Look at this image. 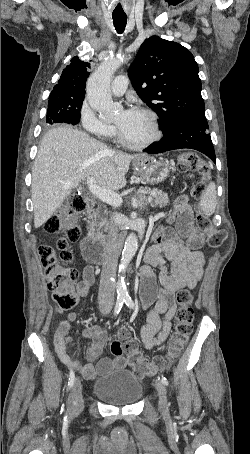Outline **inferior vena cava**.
<instances>
[{"label":"inferior vena cava","mask_w":250,"mask_h":454,"mask_svg":"<svg viewBox=\"0 0 250 454\" xmlns=\"http://www.w3.org/2000/svg\"><path fill=\"white\" fill-rule=\"evenodd\" d=\"M108 236L107 245L105 249V257L103 263V270L101 274L98 301L99 305H110L114 304V292L115 288L110 278L115 275L118 257L121 251L120 246L117 242L118 229L116 223L111 220L108 222Z\"/></svg>","instance_id":"inferior-vena-cava-1"}]
</instances>
